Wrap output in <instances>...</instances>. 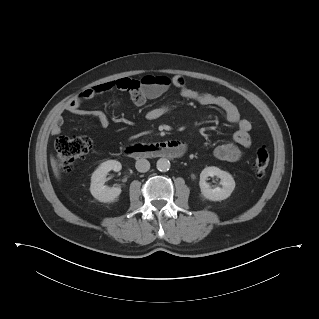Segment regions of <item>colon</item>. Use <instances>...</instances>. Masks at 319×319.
Wrapping results in <instances>:
<instances>
[{"label": "colon", "mask_w": 319, "mask_h": 319, "mask_svg": "<svg viewBox=\"0 0 319 319\" xmlns=\"http://www.w3.org/2000/svg\"><path fill=\"white\" fill-rule=\"evenodd\" d=\"M170 84V79L162 75H146L137 80L128 79L122 89L129 94L142 92L155 95L165 91ZM93 141L88 136H61L55 142L57 164L61 171L69 172L74 164L85 156L92 148ZM270 162L266 149L260 148L254 157V170L258 177H264Z\"/></svg>", "instance_id": "obj_1"}]
</instances>
